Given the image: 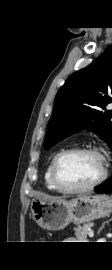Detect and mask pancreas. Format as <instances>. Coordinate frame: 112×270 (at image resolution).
I'll use <instances>...</instances> for the list:
<instances>
[{
  "label": "pancreas",
  "instance_id": "cf45deb5",
  "mask_svg": "<svg viewBox=\"0 0 112 270\" xmlns=\"http://www.w3.org/2000/svg\"><path fill=\"white\" fill-rule=\"evenodd\" d=\"M92 225V223H87L83 226H77L75 228V236L80 242H87V235Z\"/></svg>",
  "mask_w": 112,
  "mask_h": 270
}]
</instances>
